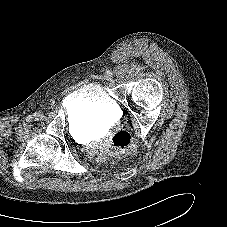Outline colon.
Wrapping results in <instances>:
<instances>
[{
    "instance_id": "1",
    "label": "colon",
    "mask_w": 227,
    "mask_h": 227,
    "mask_svg": "<svg viewBox=\"0 0 227 227\" xmlns=\"http://www.w3.org/2000/svg\"><path fill=\"white\" fill-rule=\"evenodd\" d=\"M102 149L114 154L129 151L132 149L131 136L124 131L118 132L110 140L104 142Z\"/></svg>"
}]
</instances>
